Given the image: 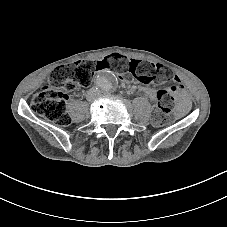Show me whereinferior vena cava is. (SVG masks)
I'll use <instances>...</instances> for the list:
<instances>
[{"label": "inferior vena cava", "instance_id": "1", "mask_svg": "<svg viewBox=\"0 0 227 227\" xmlns=\"http://www.w3.org/2000/svg\"><path fill=\"white\" fill-rule=\"evenodd\" d=\"M90 92H91V93H95L96 90L92 88V89H90Z\"/></svg>", "mask_w": 227, "mask_h": 227}]
</instances>
